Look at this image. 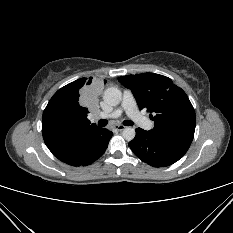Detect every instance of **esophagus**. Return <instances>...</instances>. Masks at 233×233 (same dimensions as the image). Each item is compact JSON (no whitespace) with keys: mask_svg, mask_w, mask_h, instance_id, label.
Masks as SVG:
<instances>
[{"mask_svg":"<svg viewBox=\"0 0 233 233\" xmlns=\"http://www.w3.org/2000/svg\"><path fill=\"white\" fill-rule=\"evenodd\" d=\"M125 128H126V127H125L124 125H121V124L115 125V126H114V129L117 130V131H122V130H124Z\"/></svg>","mask_w":233,"mask_h":233,"instance_id":"esophagus-1","label":"esophagus"}]
</instances>
